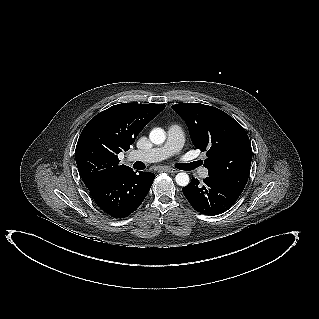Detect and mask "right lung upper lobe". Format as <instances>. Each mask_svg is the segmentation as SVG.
<instances>
[{"instance_id": "right-lung-upper-lobe-1", "label": "right lung upper lobe", "mask_w": 319, "mask_h": 319, "mask_svg": "<svg viewBox=\"0 0 319 319\" xmlns=\"http://www.w3.org/2000/svg\"><path fill=\"white\" fill-rule=\"evenodd\" d=\"M164 108L163 104H117L87 123L78 139L75 158L89 191L131 169L119 165L118 153L127 151L146 124Z\"/></svg>"}]
</instances>
